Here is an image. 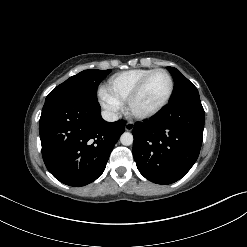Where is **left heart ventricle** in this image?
Returning a JSON list of instances; mask_svg holds the SVG:
<instances>
[{
    "instance_id": "1",
    "label": "left heart ventricle",
    "mask_w": 247,
    "mask_h": 247,
    "mask_svg": "<svg viewBox=\"0 0 247 247\" xmlns=\"http://www.w3.org/2000/svg\"><path fill=\"white\" fill-rule=\"evenodd\" d=\"M169 90V79L164 73L154 74L145 85L143 92L136 100L134 109L146 112L157 107L166 97Z\"/></svg>"
}]
</instances>
